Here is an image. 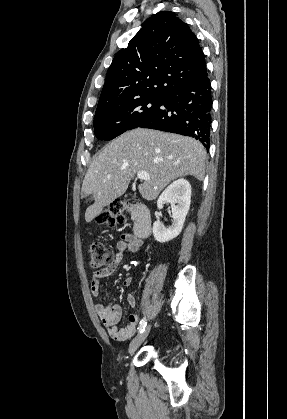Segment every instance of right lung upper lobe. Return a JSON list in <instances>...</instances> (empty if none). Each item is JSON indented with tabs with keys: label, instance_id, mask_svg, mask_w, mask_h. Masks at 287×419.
Returning a JSON list of instances; mask_svg holds the SVG:
<instances>
[{
	"label": "right lung upper lobe",
	"instance_id": "right-lung-upper-lobe-1",
	"mask_svg": "<svg viewBox=\"0 0 287 419\" xmlns=\"http://www.w3.org/2000/svg\"><path fill=\"white\" fill-rule=\"evenodd\" d=\"M206 74L203 51L189 26L173 12H158L115 55L96 112L140 97H163Z\"/></svg>",
	"mask_w": 287,
	"mask_h": 419
}]
</instances>
